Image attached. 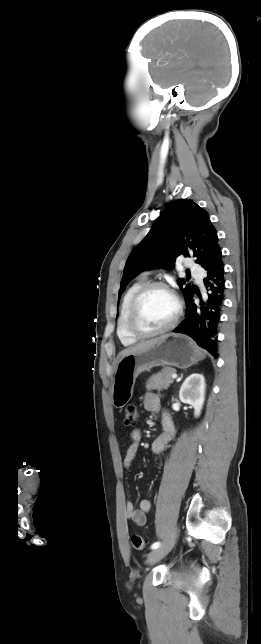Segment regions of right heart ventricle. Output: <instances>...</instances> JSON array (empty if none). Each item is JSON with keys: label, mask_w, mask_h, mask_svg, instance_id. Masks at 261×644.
<instances>
[{"label": "right heart ventricle", "mask_w": 261, "mask_h": 644, "mask_svg": "<svg viewBox=\"0 0 261 644\" xmlns=\"http://www.w3.org/2000/svg\"><path fill=\"white\" fill-rule=\"evenodd\" d=\"M145 283H146L145 277L138 279L128 287V289L126 290L123 296L119 317L117 320V336L120 342L124 346H131L137 342V339L132 337L126 328V319H127L129 306L134 295L139 290V288Z\"/></svg>", "instance_id": "1"}]
</instances>
